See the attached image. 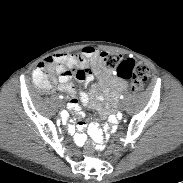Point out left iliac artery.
Here are the masks:
<instances>
[{
	"mask_svg": "<svg viewBox=\"0 0 183 183\" xmlns=\"http://www.w3.org/2000/svg\"><path fill=\"white\" fill-rule=\"evenodd\" d=\"M123 98H124V96H123V95H121V96H120V99H123Z\"/></svg>",
	"mask_w": 183,
	"mask_h": 183,
	"instance_id": "left-iliac-artery-1",
	"label": "left iliac artery"
}]
</instances>
